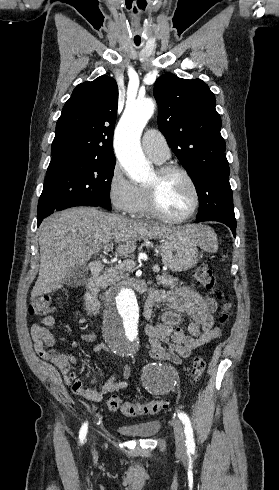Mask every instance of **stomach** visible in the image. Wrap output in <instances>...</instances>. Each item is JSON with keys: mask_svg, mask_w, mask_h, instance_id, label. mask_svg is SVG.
Returning <instances> with one entry per match:
<instances>
[{"mask_svg": "<svg viewBox=\"0 0 279 490\" xmlns=\"http://www.w3.org/2000/svg\"><path fill=\"white\" fill-rule=\"evenodd\" d=\"M197 242L188 236H181L171 232L166 238H162L159 254L163 264L171 272H187L199 262Z\"/></svg>", "mask_w": 279, "mask_h": 490, "instance_id": "stomach-1", "label": "stomach"}]
</instances>
